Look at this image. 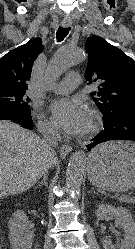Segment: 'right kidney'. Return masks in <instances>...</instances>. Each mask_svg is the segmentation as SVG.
<instances>
[{
  "label": "right kidney",
  "mask_w": 135,
  "mask_h": 249,
  "mask_svg": "<svg viewBox=\"0 0 135 249\" xmlns=\"http://www.w3.org/2000/svg\"><path fill=\"white\" fill-rule=\"evenodd\" d=\"M34 232L28 226V218L23 211H17L9 220V240L12 249H31Z\"/></svg>",
  "instance_id": "1"
}]
</instances>
